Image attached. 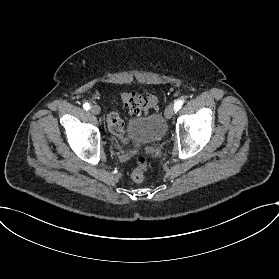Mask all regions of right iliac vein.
<instances>
[{
  "label": "right iliac vein",
  "mask_w": 279,
  "mask_h": 279,
  "mask_svg": "<svg viewBox=\"0 0 279 279\" xmlns=\"http://www.w3.org/2000/svg\"><path fill=\"white\" fill-rule=\"evenodd\" d=\"M90 111L92 114L97 115L100 113V107L97 105H94L91 107Z\"/></svg>",
  "instance_id": "right-iliac-vein-1"
}]
</instances>
